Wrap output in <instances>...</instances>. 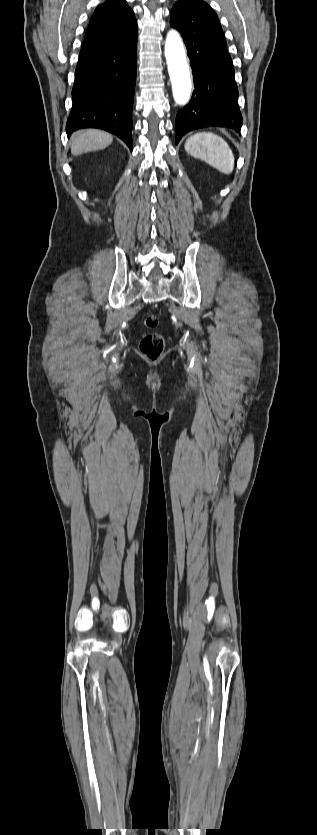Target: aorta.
Returning <instances> with one entry per match:
<instances>
[{
  "label": "aorta",
  "instance_id": "762f6f07",
  "mask_svg": "<svg viewBox=\"0 0 317 835\" xmlns=\"http://www.w3.org/2000/svg\"><path fill=\"white\" fill-rule=\"evenodd\" d=\"M164 51L174 101L184 106L190 100L192 82L184 45L176 30L172 29L168 32Z\"/></svg>",
  "mask_w": 317,
  "mask_h": 835
}]
</instances>
